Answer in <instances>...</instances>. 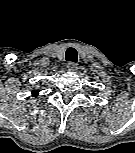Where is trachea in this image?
I'll list each match as a JSON object with an SVG mask.
<instances>
[{
    "label": "trachea",
    "mask_w": 135,
    "mask_h": 153,
    "mask_svg": "<svg viewBox=\"0 0 135 153\" xmlns=\"http://www.w3.org/2000/svg\"><path fill=\"white\" fill-rule=\"evenodd\" d=\"M65 57L67 61L76 63L78 59V54L75 48L73 47L68 48Z\"/></svg>",
    "instance_id": "obj_1"
}]
</instances>
